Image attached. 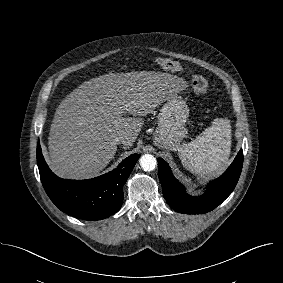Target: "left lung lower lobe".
I'll list each match as a JSON object with an SVG mask.
<instances>
[{
  "instance_id": "1",
  "label": "left lung lower lobe",
  "mask_w": 283,
  "mask_h": 283,
  "mask_svg": "<svg viewBox=\"0 0 283 283\" xmlns=\"http://www.w3.org/2000/svg\"><path fill=\"white\" fill-rule=\"evenodd\" d=\"M243 166L240 150L230 167L217 179L211 181L200 197L190 196L184 186L173 176L169 165L158 159V176L168 205L179 213L203 214L220 205L234 190Z\"/></svg>"
}]
</instances>
